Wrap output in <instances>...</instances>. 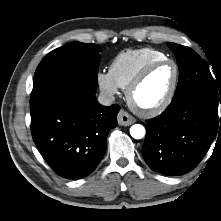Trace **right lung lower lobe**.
<instances>
[{"label":"right lung lower lobe","instance_id":"right-lung-lower-lobe-1","mask_svg":"<svg viewBox=\"0 0 221 221\" xmlns=\"http://www.w3.org/2000/svg\"><path fill=\"white\" fill-rule=\"evenodd\" d=\"M96 88L63 82L31 105V132L47 164L59 176L75 180L91 174L106 150V138L117 126L118 105L102 106Z\"/></svg>","mask_w":221,"mask_h":221}]
</instances>
